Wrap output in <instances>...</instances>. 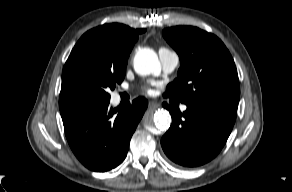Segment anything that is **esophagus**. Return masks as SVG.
I'll return each instance as SVG.
<instances>
[{"label":"esophagus","instance_id":"obj_1","mask_svg":"<svg viewBox=\"0 0 292 192\" xmlns=\"http://www.w3.org/2000/svg\"><path fill=\"white\" fill-rule=\"evenodd\" d=\"M158 107H159V103H157L156 101H150L148 104L149 109H156Z\"/></svg>","mask_w":292,"mask_h":192}]
</instances>
